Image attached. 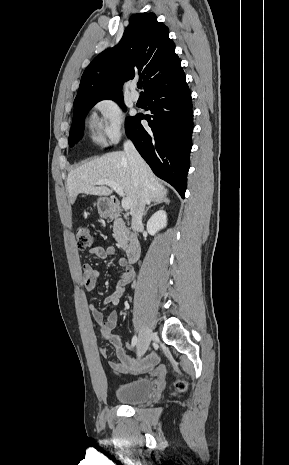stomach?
<instances>
[{
  "instance_id": "obj_1",
  "label": "stomach",
  "mask_w": 289,
  "mask_h": 465,
  "mask_svg": "<svg viewBox=\"0 0 289 465\" xmlns=\"http://www.w3.org/2000/svg\"><path fill=\"white\" fill-rule=\"evenodd\" d=\"M97 209L100 215H107L110 212V201L109 199L102 197L97 200Z\"/></svg>"
}]
</instances>
